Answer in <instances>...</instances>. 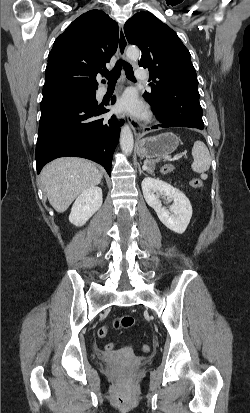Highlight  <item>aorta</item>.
Returning a JSON list of instances; mask_svg holds the SVG:
<instances>
[{
	"label": "aorta",
	"mask_w": 250,
	"mask_h": 413,
	"mask_svg": "<svg viewBox=\"0 0 250 413\" xmlns=\"http://www.w3.org/2000/svg\"><path fill=\"white\" fill-rule=\"evenodd\" d=\"M126 56L130 60H137L140 57V51L136 47H129ZM133 134L129 125L125 124L121 129L120 146L125 154H130L133 150Z\"/></svg>",
	"instance_id": "1"
}]
</instances>
